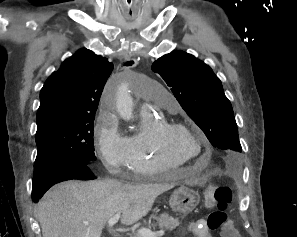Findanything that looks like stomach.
Instances as JSON below:
<instances>
[{
	"mask_svg": "<svg viewBox=\"0 0 297 237\" xmlns=\"http://www.w3.org/2000/svg\"><path fill=\"white\" fill-rule=\"evenodd\" d=\"M199 201L200 196L197 192L180 187L171 195L169 204L173 211L188 214L196 208Z\"/></svg>",
	"mask_w": 297,
	"mask_h": 237,
	"instance_id": "0dacf381",
	"label": "stomach"
}]
</instances>
